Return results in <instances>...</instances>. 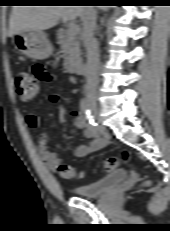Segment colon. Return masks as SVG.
Masks as SVG:
<instances>
[{"label":"colon","mask_w":170,"mask_h":231,"mask_svg":"<svg viewBox=\"0 0 170 231\" xmlns=\"http://www.w3.org/2000/svg\"><path fill=\"white\" fill-rule=\"evenodd\" d=\"M15 89L19 97L23 100L33 99L39 89L38 82L34 77L27 71H19L15 76ZM130 158V153L124 150L121 153V160L127 161ZM118 164L117 158H109L104 162V168L108 171L113 170ZM58 172L60 176L64 179H72L75 176H81L82 173L77 174L76 170L68 164H60L58 167Z\"/></svg>","instance_id":"obj_1"}]
</instances>
